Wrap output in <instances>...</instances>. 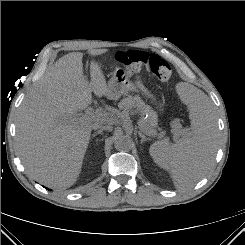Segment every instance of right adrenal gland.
Wrapping results in <instances>:
<instances>
[{"mask_svg":"<svg viewBox=\"0 0 245 245\" xmlns=\"http://www.w3.org/2000/svg\"><path fill=\"white\" fill-rule=\"evenodd\" d=\"M102 133H103V129H100V130H98L97 132H95V133L92 135V137H95V136L98 135V134L102 135Z\"/></svg>","mask_w":245,"mask_h":245,"instance_id":"right-adrenal-gland-1","label":"right adrenal gland"}]
</instances>
